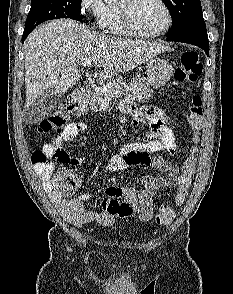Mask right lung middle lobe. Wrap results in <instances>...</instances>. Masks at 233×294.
<instances>
[{
    "label": "right lung middle lobe",
    "mask_w": 233,
    "mask_h": 294,
    "mask_svg": "<svg viewBox=\"0 0 233 294\" xmlns=\"http://www.w3.org/2000/svg\"><path fill=\"white\" fill-rule=\"evenodd\" d=\"M81 1L31 0V9L26 19L25 30H33L40 23L56 18L82 21Z\"/></svg>",
    "instance_id": "dd1d6c3e"
}]
</instances>
